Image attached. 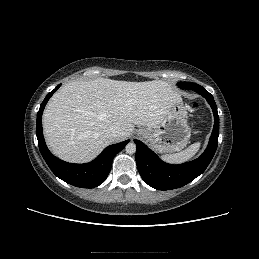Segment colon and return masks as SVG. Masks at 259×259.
I'll list each match as a JSON object with an SVG mask.
<instances>
[{
	"label": "colon",
	"mask_w": 259,
	"mask_h": 259,
	"mask_svg": "<svg viewBox=\"0 0 259 259\" xmlns=\"http://www.w3.org/2000/svg\"><path fill=\"white\" fill-rule=\"evenodd\" d=\"M198 107V103L196 101L191 103V108L196 109Z\"/></svg>",
	"instance_id": "5ec220e1"
}]
</instances>
